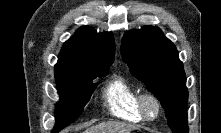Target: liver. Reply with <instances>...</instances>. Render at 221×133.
<instances>
[{"label": "liver", "mask_w": 221, "mask_h": 133, "mask_svg": "<svg viewBox=\"0 0 221 133\" xmlns=\"http://www.w3.org/2000/svg\"><path fill=\"white\" fill-rule=\"evenodd\" d=\"M135 128L119 122H104L86 129L83 133H131Z\"/></svg>", "instance_id": "liver-1"}]
</instances>
